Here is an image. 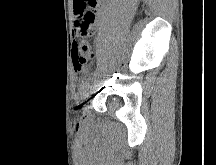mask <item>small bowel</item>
<instances>
[{
  "mask_svg": "<svg viewBox=\"0 0 216 165\" xmlns=\"http://www.w3.org/2000/svg\"><path fill=\"white\" fill-rule=\"evenodd\" d=\"M75 14V29L78 28L84 15L91 12L93 15L92 30L99 24L103 15V0H73Z\"/></svg>",
  "mask_w": 216,
  "mask_h": 165,
  "instance_id": "c3829d8e",
  "label": "small bowel"
}]
</instances>
